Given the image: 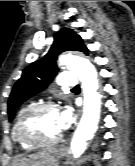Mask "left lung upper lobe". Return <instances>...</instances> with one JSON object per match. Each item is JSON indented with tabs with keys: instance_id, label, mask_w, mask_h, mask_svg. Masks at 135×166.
<instances>
[{
	"instance_id": "1",
	"label": "left lung upper lobe",
	"mask_w": 135,
	"mask_h": 166,
	"mask_svg": "<svg viewBox=\"0 0 135 166\" xmlns=\"http://www.w3.org/2000/svg\"><path fill=\"white\" fill-rule=\"evenodd\" d=\"M80 51L88 54L82 38L72 29L63 28L54 35L49 52L39 61L30 64L15 83L8 101L9 120L12 121L17 108L28 98L44 90L56 76V59L64 51Z\"/></svg>"
}]
</instances>
